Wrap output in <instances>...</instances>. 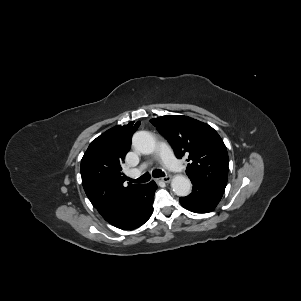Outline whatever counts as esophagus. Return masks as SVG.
<instances>
[{
	"label": "esophagus",
	"instance_id": "obj_1",
	"mask_svg": "<svg viewBox=\"0 0 301 301\" xmlns=\"http://www.w3.org/2000/svg\"><path fill=\"white\" fill-rule=\"evenodd\" d=\"M160 181H162L164 183H169L171 181V177L170 176H165V177L161 178Z\"/></svg>",
	"mask_w": 301,
	"mask_h": 301
}]
</instances>
